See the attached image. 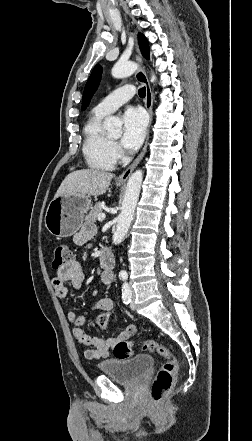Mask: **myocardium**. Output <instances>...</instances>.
Here are the masks:
<instances>
[{
  "label": "myocardium",
  "mask_w": 252,
  "mask_h": 441,
  "mask_svg": "<svg viewBox=\"0 0 252 441\" xmlns=\"http://www.w3.org/2000/svg\"><path fill=\"white\" fill-rule=\"evenodd\" d=\"M109 140H110V142L113 144L115 141L114 140H112L111 138H109Z\"/></svg>",
  "instance_id": "1"
}]
</instances>
